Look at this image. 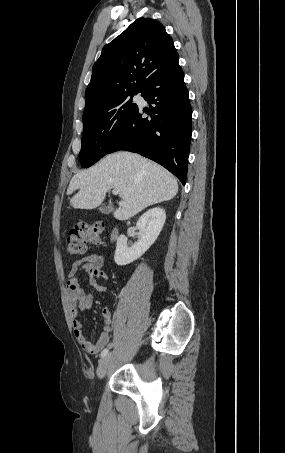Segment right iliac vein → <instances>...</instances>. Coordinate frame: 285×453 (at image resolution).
Returning <instances> with one entry per match:
<instances>
[{
  "mask_svg": "<svg viewBox=\"0 0 285 453\" xmlns=\"http://www.w3.org/2000/svg\"><path fill=\"white\" fill-rule=\"evenodd\" d=\"M111 358H112V354L110 353V354L104 356L102 358V360L100 361L99 366L97 368V377L99 380L103 379V377L105 376V374L108 370V367L110 365Z\"/></svg>",
  "mask_w": 285,
  "mask_h": 453,
  "instance_id": "1",
  "label": "right iliac vein"
}]
</instances>
